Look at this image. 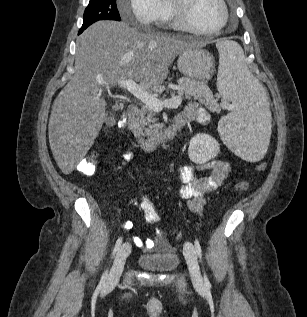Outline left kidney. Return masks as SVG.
<instances>
[{"label":"left kidney","mask_w":307,"mask_h":317,"mask_svg":"<svg viewBox=\"0 0 307 317\" xmlns=\"http://www.w3.org/2000/svg\"><path fill=\"white\" fill-rule=\"evenodd\" d=\"M220 152L219 143L210 135L199 133L189 144L188 155L192 162L204 164L213 159Z\"/></svg>","instance_id":"left-kidney-1"}]
</instances>
